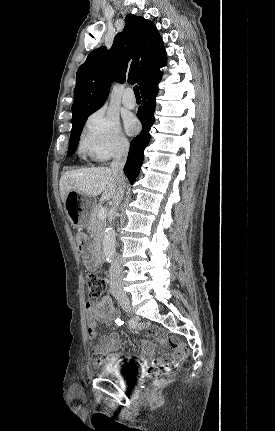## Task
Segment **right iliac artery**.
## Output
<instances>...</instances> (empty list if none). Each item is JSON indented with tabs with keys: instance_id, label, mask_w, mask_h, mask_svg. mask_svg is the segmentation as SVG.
Here are the masks:
<instances>
[{
	"instance_id": "82829eb1",
	"label": "right iliac artery",
	"mask_w": 275,
	"mask_h": 431,
	"mask_svg": "<svg viewBox=\"0 0 275 431\" xmlns=\"http://www.w3.org/2000/svg\"><path fill=\"white\" fill-rule=\"evenodd\" d=\"M128 323L131 328H136L138 325L135 319H130Z\"/></svg>"
}]
</instances>
